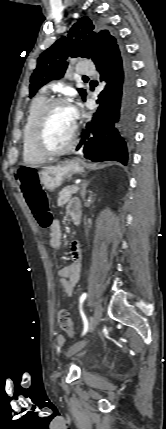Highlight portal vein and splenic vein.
Wrapping results in <instances>:
<instances>
[{
  "label": "portal vein and splenic vein",
  "instance_id": "1",
  "mask_svg": "<svg viewBox=\"0 0 166 429\" xmlns=\"http://www.w3.org/2000/svg\"><path fill=\"white\" fill-rule=\"evenodd\" d=\"M78 190H79V187H78V186H75V187L73 188V190H72V194L77 193V192H78Z\"/></svg>",
  "mask_w": 166,
  "mask_h": 429
}]
</instances>
